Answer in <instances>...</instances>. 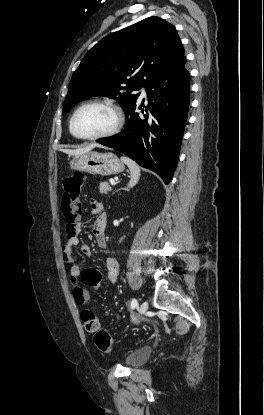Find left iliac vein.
<instances>
[{"label":"left iliac vein","instance_id":"left-iliac-vein-1","mask_svg":"<svg viewBox=\"0 0 264 415\" xmlns=\"http://www.w3.org/2000/svg\"><path fill=\"white\" fill-rule=\"evenodd\" d=\"M147 309H148V303H147L146 301H143V302L140 304V308H139L140 313H141V314H144V313L147 311Z\"/></svg>","mask_w":264,"mask_h":415}]
</instances>
